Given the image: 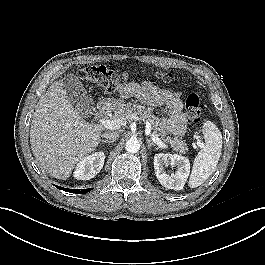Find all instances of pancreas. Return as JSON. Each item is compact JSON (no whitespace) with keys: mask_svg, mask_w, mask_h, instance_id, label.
Masks as SVG:
<instances>
[{"mask_svg":"<svg viewBox=\"0 0 265 265\" xmlns=\"http://www.w3.org/2000/svg\"><path fill=\"white\" fill-rule=\"evenodd\" d=\"M139 116L141 120L148 121L152 125L153 134L159 137L164 143L169 144L175 151L186 153L187 148L182 138L171 137L160 125V120L153 114L152 109H146L138 104H126L120 106L112 119H127L130 115Z\"/></svg>","mask_w":265,"mask_h":265,"instance_id":"obj_1","label":"pancreas"}]
</instances>
